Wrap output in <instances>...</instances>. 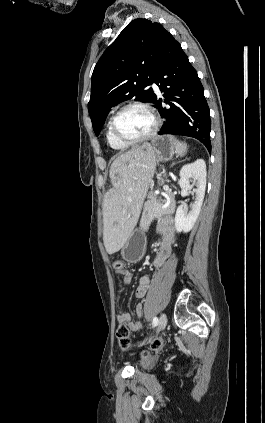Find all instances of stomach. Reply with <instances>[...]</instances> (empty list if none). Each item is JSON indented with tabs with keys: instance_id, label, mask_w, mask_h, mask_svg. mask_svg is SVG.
Masks as SVG:
<instances>
[{
	"instance_id": "0dacf381",
	"label": "stomach",
	"mask_w": 265,
	"mask_h": 423,
	"mask_svg": "<svg viewBox=\"0 0 265 423\" xmlns=\"http://www.w3.org/2000/svg\"><path fill=\"white\" fill-rule=\"evenodd\" d=\"M156 160L166 162L172 159L175 153V141L169 136H161L152 140L151 143ZM145 235L140 229H135L129 235L121 250L122 257L129 263H137L145 254Z\"/></svg>"
}]
</instances>
